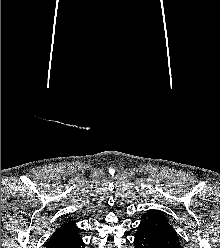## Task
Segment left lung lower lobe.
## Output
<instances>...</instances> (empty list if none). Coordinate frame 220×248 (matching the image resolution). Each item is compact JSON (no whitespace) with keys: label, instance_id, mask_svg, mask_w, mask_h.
Returning <instances> with one entry per match:
<instances>
[{"label":"left lung lower lobe","instance_id":"1","mask_svg":"<svg viewBox=\"0 0 220 248\" xmlns=\"http://www.w3.org/2000/svg\"><path fill=\"white\" fill-rule=\"evenodd\" d=\"M135 248H168L153 237L143 226H138L134 239Z\"/></svg>","mask_w":220,"mask_h":248}]
</instances>
